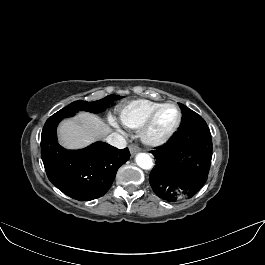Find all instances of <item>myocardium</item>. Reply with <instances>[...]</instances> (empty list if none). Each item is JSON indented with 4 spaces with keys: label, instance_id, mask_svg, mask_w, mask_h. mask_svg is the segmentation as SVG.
Listing matches in <instances>:
<instances>
[{
    "label": "myocardium",
    "instance_id": "myocardium-1",
    "mask_svg": "<svg viewBox=\"0 0 265 265\" xmlns=\"http://www.w3.org/2000/svg\"><path fill=\"white\" fill-rule=\"evenodd\" d=\"M166 106H172V107H174L176 109V111H177L176 121L171 126V128L168 129L165 133H163L160 136L154 137V136L151 135L152 125H153L154 120H155L157 114L159 113V111L162 108L166 107ZM181 120H182V113H181V110H180L179 106L176 103H174V102L161 103L158 106H156L147 115V117L145 118L143 124L139 128L140 139L147 146H150V147L161 146L164 143H166L174 135V133L177 131V129L180 126Z\"/></svg>",
    "mask_w": 265,
    "mask_h": 265
}]
</instances>
